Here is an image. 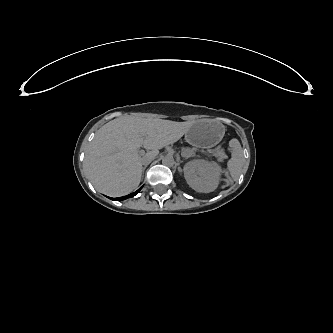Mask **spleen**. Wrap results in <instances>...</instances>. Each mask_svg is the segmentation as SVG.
I'll use <instances>...</instances> for the list:
<instances>
[{
    "mask_svg": "<svg viewBox=\"0 0 333 333\" xmlns=\"http://www.w3.org/2000/svg\"><path fill=\"white\" fill-rule=\"evenodd\" d=\"M235 166H236V162L233 161V162L230 164V167H231V168H234Z\"/></svg>",
    "mask_w": 333,
    "mask_h": 333,
    "instance_id": "3e777b00",
    "label": "spleen"
}]
</instances>
